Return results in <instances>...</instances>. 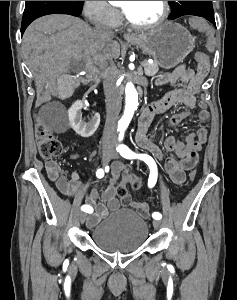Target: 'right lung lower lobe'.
Instances as JSON below:
<instances>
[{
	"label": "right lung lower lobe",
	"instance_id": "98d812e1",
	"mask_svg": "<svg viewBox=\"0 0 237 300\" xmlns=\"http://www.w3.org/2000/svg\"><path fill=\"white\" fill-rule=\"evenodd\" d=\"M82 11V8H62V9H56V10H51V11H47L44 13H41L29 20H22V27H21V35H23L25 29L27 28V26L34 21L35 19H37L38 17L44 16V15H49V14H68V15H73V16H80Z\"/></svg>",
	"mask_w": 237,
	"mask_h": 300
}]
</instances>
